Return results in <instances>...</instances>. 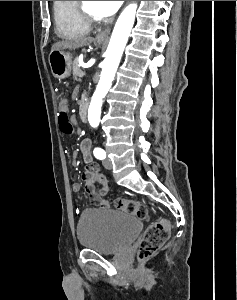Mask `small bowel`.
Listing matches in <instances>:
<instances>
[{
  "instance_id": "small-bowel-1",
  "label": "small bowel",
  "mask_w": 237,
  "mask_h": 300,
  "mask_svg": "<svg viewBox=\"0 0 237 300\" xmlns=\"http://www.w3.org/2000/svg\"><path fill=\"white\" fill-rule=\"evenodd\" d=\"M68 103L67 101H61L60 109L67 110ZM79 152L82 155L83 161L88 165L90 171H95L96 166L92 164V156H91V140L86 138L83 139L79 144ZM73 191L79 192L80 185L77 182L73 183ZM92 200L95 201L100 207H108V202L106 200L100 199L97 195L91 194Z\"/></svg>"
}]
</instances>
